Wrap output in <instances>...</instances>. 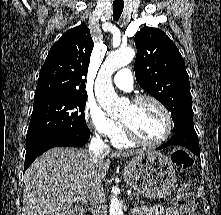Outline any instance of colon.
Here are the masks:
<instances>
[{
	"label": "colon",
	"mask_w": 221,
	"mask_h": 215,
	"mask_svg": "<svg viewBox=\"0 0 221 215\" xmlns=\"http://www.w3.org/2000/svg\"><path fill=\"white\" fill-rule=\"evenodd\" d=\"M174 166L179 171H187L193 164L192 156L184 149H175L171 155ZM174 208L180 215H193L196 207L194 198L189 193L188 184L185 183L173 201Z\"/></svg>",
	"instance_id": "obj_1"
}]
</instances>
